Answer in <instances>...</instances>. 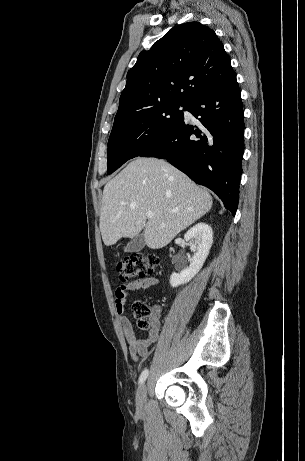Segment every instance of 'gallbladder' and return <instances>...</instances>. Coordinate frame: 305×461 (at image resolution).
I'll return each mask as SVG.
<instances>
[{
	"label": "gallbladder",
	"mask_w": 305,
	"mask_h": 461,
	"mask_svg": "<svg viewBox=\"0 0 305 461\" xmlns=\"http://www.w3.org/2000/svg\"><path fill=\"white\" fill-rule=\"evenodd\" d=\"M145 246V237L144 233L138 234L136 237H134L125 247H124V252H139L141 251Z\"/></svg>",
	"instance_id": "obj_1"
}]
</instances>
